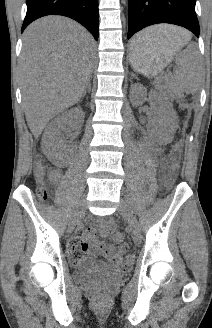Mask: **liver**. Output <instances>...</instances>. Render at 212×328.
<instances>
[{
	"mask_svg": "<svg viewBox=\"0 0 212 328\" xmlns=\"http://www.w3.org/2000/svg\"><path fill=\"white\" fill-rule=\"evenodd\" d=\"M187 42L184 29L161 25ZM162 40L169 38L162 32ZM95 41L79 23L60 16L34 21L24 32L19 72L27 124L38 138L57 114L83 96L93 71Z\"/></svg>",
	"mask_w": 212,
	"mask_h": 328,
	"instance_id": "obj_1",
	"label": "liver"
}]
</instances>
